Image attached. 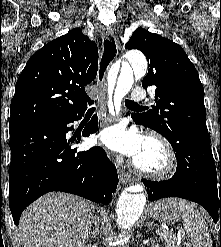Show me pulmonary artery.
<instances>
[{"label": "pulmonary artery", "instance_id": "e3ab8cb5", "mask_svg": "<svg viewBox=\"0 0 221 247\" xmlns=\"http://www.w3.org/2000/svg\"><path fill=\"white\" fill-rule=\"evenodd\" d=\"M134 100H143L146 98V93L141 89H134L131 94Z\"/></svg>", "mask_w": 221, "mask_h": 247}]
</instances>
